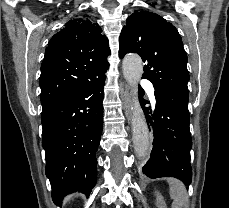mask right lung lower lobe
<instances>
[{"mask_svg":"<svg viewBox=\"0 0 229 208\" xmlns=\"http://www.w3.org/2000/svg\"><path fill=\"white\" fill-rule=\"evenodd\" d=\"M105 77L103 74L42 110L45 171L56 205L72 192L89 196L96 184Z\"/></svg>","mask_w":229,"mask_h":208,"instance_id":"1","label":"right lung lower lobe"}]
</instances>
